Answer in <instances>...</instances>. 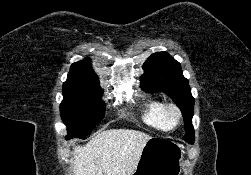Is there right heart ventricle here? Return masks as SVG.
<instances>
[{"instance_id": "1", "label": "right heart ventricle", "mask_w": 251, "mask_h": 175, "mask_svg": "<svg viewBox=\"0 0 251 175\" xmlns=\"http://www.w3.org/2000/svg\"><path fill=\"white\" fill-rule=\"evenodd\" d=\"M142 119L145 124L158 131L170 132L174 128L166 119L165 103L158 99H148L143 102Z\"/></svg>"}]
</instances>
